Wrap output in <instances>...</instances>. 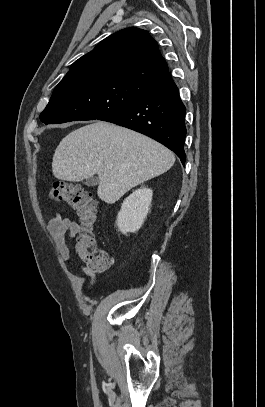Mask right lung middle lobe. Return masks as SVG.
I'll list each match as a JSON object with an SVG mask.
<instances>
[{
	"mask_svg": "<svg viewBox=\"0 0 265 407\" xmlns=\"http://www.w3.org/2000/svg\"><path fill=\"white\" fill-rule=\"evenodd\" d=\"M153 88L101 74L76 75L56 86L39 117L45 124L101 119L136 104Z\"/></svg>",
	"mask_w": 265,
	"mask_h": 407,
	"instance_id": "1",
	"label": "right lung middle lobe"
}]
</instances>
